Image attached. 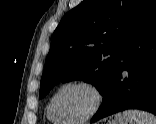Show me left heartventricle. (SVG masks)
<instances>
[{
    "instance_id": "b2bd125f",
    "label": "left heart ventricle",
    "mask_w": 156,
    "mask_h": 124,
    "mask_svg": "<svg viewBox=\"0 0 156 124\" xmlns=\"http://www.w3.org/2000/svg\"><path fill=\"white\" fill-rule=\"evenodd\" d=\"M93 93L83 87L63 90L56 99L55 110L62 119L75 120L87 115L93 108Z\"/></svg>"
}]
</instances>
